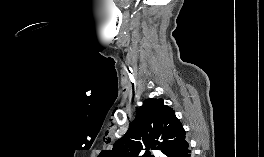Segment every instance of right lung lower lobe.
Returning <instances> with one entry per match:
<instances>
[{"label":"right lung lower lobe","mask_w":264,"mask_h":157,"mask_svg":"<svg viewBox=\"0 0 264 157\" xmlns=\"http://www.w3.org/2000/svg\"><path fill=\"white\" fill-rule=\"evenodd\" d=\"M166 157H193L188 142L185 140L176 149L171 151Z\"/></svg>","instance_id":"obj_1"}]
</instances>
